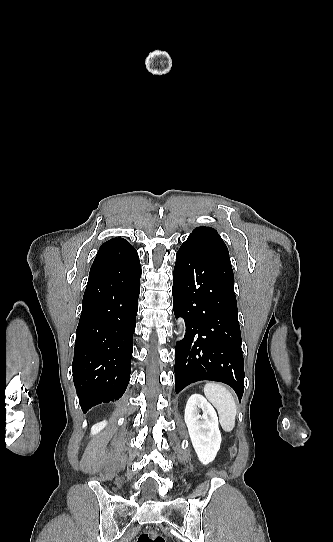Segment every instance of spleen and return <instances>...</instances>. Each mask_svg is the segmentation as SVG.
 <instances>
[{
  "label": "spleen",
  "mask_w": 333,
  "mask_h": 542,
  "mask_svg": "<svg viewBox=\"0 0 333 542\" xmlns=\"http://www.w3.org/2000/svg\"><path fill=\"white\" fill-rule=\"evenodd\" d=\"M204 394L216 408L219 422L224 432H232L235 428L237 406L234 396L222 384H205Z\"/></svg>",
  "instance_id": "obj_1"
}]
</instances>
